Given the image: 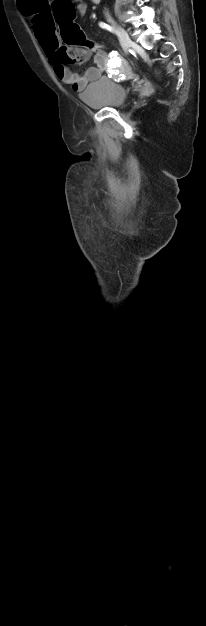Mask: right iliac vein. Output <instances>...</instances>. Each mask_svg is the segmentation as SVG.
<instances>
[{
  "mask_svg": "<svg viewBox=\"0 0 206 626\" xmlns=\"http://www.w3.org/2000/svg\"><path fill=\"white\" fill-rule=\"evenodd\" d=\"M109 22L112 23L114 28H116V30H117V32L119 34V38H120V41L122 43V46H123L124 50L127 52L128 49L131 47V44H132V41H131L128 33L126 32V30L124 28L119 26L113 19L110 18Z\"/></svg>",
  "mask_w": 206,
  "mask_h": 626,
  "instance_id": "63e3f726",
  "label": "right iliac vein"
}]
</instances>
